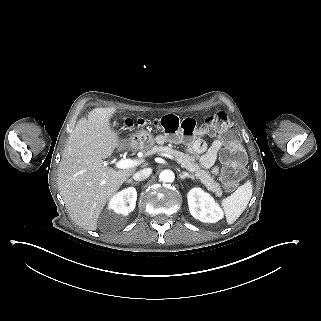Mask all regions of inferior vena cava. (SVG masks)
Masks as SVG:
<instances>
[{
	"instance_id": "602c4592",
	"label": "inferior vena cava",
	"mask_w": 321,
	"mask_h": 321,
	"mask_svg": "<svg viewBox=\"0 0 321 321\" xmlns=\"http://www.w3.org/2000/svg\"><path fill=\"white\" fill-rule=\"evenodd\" d=\"M152 174L151 168H144L133 175L135 181H142L147 179Z\"/></svg>"
}]
</instances>
